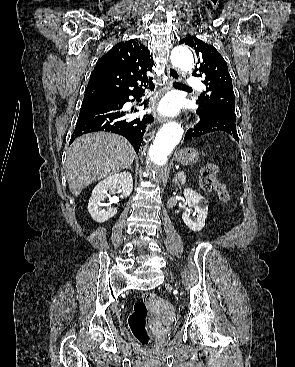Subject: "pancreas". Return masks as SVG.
Returning <instances> with one entry per match:
<instances>
[{
    "instance_id": "pancreas-1",
    "label": "pancreas",
    "mask_w": 295,
    "mask_h": 367,
    "mask_svg": "<svg viewBox=\"0 0 295 367\" xmlns=\"http://www.w3.org/2000/svg\"><path fill=\"white\" fill-rule=\"evenodd\" d=\"M178 182H180L181 184H185L186 176L185 175L178 176Z\"/></svg>"
}]
</instances>
